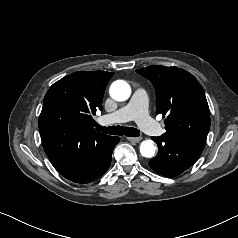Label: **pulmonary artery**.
<instances>
[{"instance_id":"obj_1","label":"pulmonary artery","mask_w":238,"mask_h":238,"mask_svg":"<svg viewBox=\"0 0 238 238\" xmlns=\"http://www.w3.org/2000/svg\"><path fill=\"white\" fill-rule=\"evenodd\" d=\"M129 120H135L140 128L149 135L158 136L162 133V128L149 116L147 92L143 88H137L125 106L111 114L101 116L99 123L108 125Z\"/></svg>"}]
</instances>
